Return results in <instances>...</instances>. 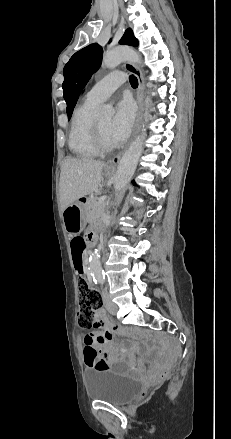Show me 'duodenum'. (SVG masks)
I'll return each mask as SVG.
<instances>
[{"mask_svg":"<svg viewBox=\"0 0 231 439\" xmlns=\"http://www.w3.org/2000/svg\"><path fill=\"white\" fill-rule=\"evenodd\" d=\"M94 240H95V235H94V233H92V237L90 238V243H93L94 242Z\"/></svg>","mask_w":231,"mask_h":439,"instance_id":"410a0bca","label":"duodenum"}]
</instances>
